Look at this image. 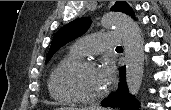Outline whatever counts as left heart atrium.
<instances>
[{"label":"left heart atrium","mask_w":171,"mask_h":110,"mask_svg":"<svg viewBox=\"0 0 171 110\" xmlns=\"http://www.w3.org/2000/svg\"><path fill=\"white\" fill-rule=\"evenodd\" d=\"M99 74L102 77V79L106 82V84H109L114 78L115 71L113 66L108 63L100 68Z\"/></svg>","instance_id":"1"}]
</instances>
